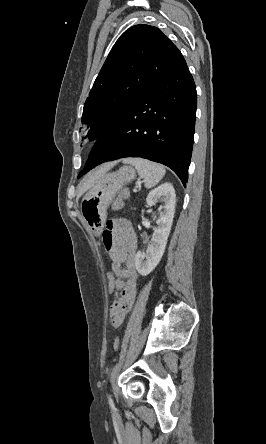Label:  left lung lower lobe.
Returning <instances> with one entry per match:
<instances>
[{
  "instance_id": "1",
  "label": "left lung lower lobe",
  "mask_w": 266,
  "mask_h": 444,
  "mask_svg": "<svg viewBox=\"0 0 266 444\" xmlns=\"http://www.w3.org/2000/svg\"><path fill=\"white\" fill-rule=\"evenodd\" d=\"M197 95L183 60L99 138L82 174L123 157H141L164 164L188 180Z\"/></svg>"
}]
</instances>
